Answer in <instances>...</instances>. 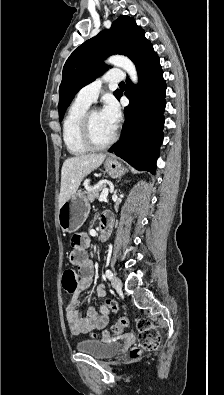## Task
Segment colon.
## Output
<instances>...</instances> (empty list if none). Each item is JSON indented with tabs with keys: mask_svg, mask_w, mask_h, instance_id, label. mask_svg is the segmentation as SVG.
<instances>
[{
	"mask_svg": "<svg viewBox=\"0 0 224 395\" xmlns=\"http://www.w3.org/2000/svg\"><path fill=\"white\" fill-rule=\"evenodd\" d=\"M78 279L74 269L68 268L63 274V287L68 293H74L77 289ZM110 307L116 309L117 305L110 302ZM129 326V319L126 316H120L110 331H104L101 336L109 337L110 335H119ZM138 331V343L130 350V357L137 358L142 352L155 351L160 346L161 337L156 327L150 322L140 319L136 323ZM96 337V335L94 336Z\"/></svg>",
	"mask_w": 224,
	"mask_h": 395,
	"instance_id": "1",
	"label": "colon"
}]
</instances>
